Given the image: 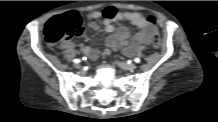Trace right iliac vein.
<instances>
[{"label": "right iliac vein", "instance_id": "right-iliac-vein-1", "mask_svg": "<svg viewBox=\"0 0 218 122\" xmlns=\"http://www.w3.org/2000/svg\"><path fill=\"white\" fill-rule=\"evenodd\" d=\"M74 67H75L76 69H81V65L78 64V63H76V64L74 65Z\"/></svg>", "mask_w": 218, "mask_h": 122}]
</instances>
